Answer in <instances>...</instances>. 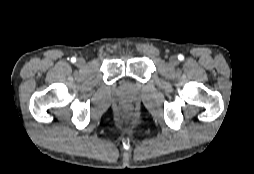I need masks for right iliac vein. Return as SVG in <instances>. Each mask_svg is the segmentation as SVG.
<instances>
[{"mask_svg":"<svg viewBox=\"0 0 254 174\" xmlns=\"http://www.w3.org/2000/svg\"><path fill=\"white\" fill-rule=\"evenodd\" d=\"M76 63L78 66L82 67L85 65L86 62L83 58H78Z\"/></svg>","mask_w":254,"mask_h":174,"instance_id":"obj_1","label":"right iliac vein"}]
</instances>
